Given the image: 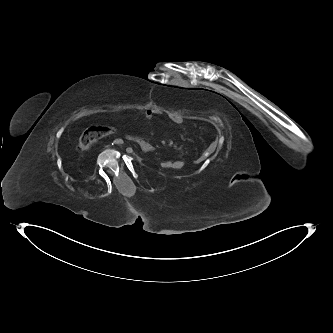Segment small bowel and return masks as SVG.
<instances>
[{
  "mask_svg": "<svg viewBox=\"0 0 333 333\" xmlns=\"http://www.w3.org/2000/svg\"><path fill=\"white\" fill-rule=\"evenodd\" d=\"M155 115V113L151 110H148L145 112L144 118L146 121H151V119L153 118V116ZM170 121L175 123V124H181L183 122V118L179 115H172L170 117ZM216 147V141H214L211 146L197 159V162H202L204 161L215 149ZM174 166L171 169H181L184 167L185 162L183 160H174L173 161Z\"/></svg>",
  "mask_w": 333,
  "mask_h": 333,
  "instance_id": "small-bowel-1",
  "label": "small bowel"
}]
</instances>
